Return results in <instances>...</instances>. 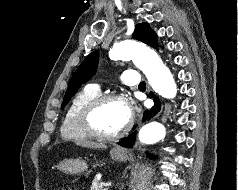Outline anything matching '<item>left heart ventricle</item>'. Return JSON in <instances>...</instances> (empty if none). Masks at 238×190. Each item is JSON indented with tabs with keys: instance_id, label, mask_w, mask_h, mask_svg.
I'll return each instance as SVG.
<instances>
[{
	"instance_id": "left-heart-ventricle-1",
	"label": "left heart ventricle",
	"mask_w": 238,
	"mask_h": 190,
	"mask_svg": "<svg viewBox=\"0 0 238 190\" xmlns=\"http://www.w3.org/2000/svg\"><path fill=\"white\" fill-rule=\"evenodd\" d=\"M129 115L125 102L113 100L105 103L95 116L97 127L106 133H115L121 130L128 122Z\"/></svg>"
}]
</instances>
